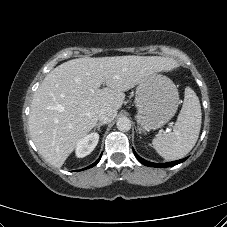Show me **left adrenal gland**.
<instances>
[{"instance_id": "obj_1", "label": "left adrenal gland", "mask_w": 227, "mask_h": 227, "mask_svg": "<svg viewBox=\"0 0 227 227\" xmlns=\"http://www.w3.org/2000/svg\"><path fill=\"white\" fill-rule=\"evenodd\" d=\"M138 131H139L140 134L143 132L140 127H138Z\"/></svg>"}]
</instances>
